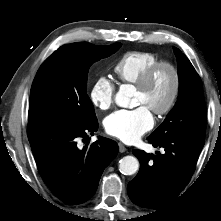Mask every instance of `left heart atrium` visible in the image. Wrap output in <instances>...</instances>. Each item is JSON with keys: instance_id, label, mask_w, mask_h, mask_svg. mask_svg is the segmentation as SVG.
Returning <instances> with one entry per match:
<instances>
[{"instance_id": "left-heart-atrium-1", "label": "left heart atrium", "mask_w": 221, "mask_h": 221, "mask_svg": "<svg viewBox=\"0 0 221 221\" xmlns=\"http://www.w3.org/2000/svg\"><path fill=\"white\" fill-rule=\"evenodd\" d=\"M154 124L151 111L144 105L134 109H121L106 117V132L124 142L132 143L152 128Z\"/></svg>"}]
</instances>
